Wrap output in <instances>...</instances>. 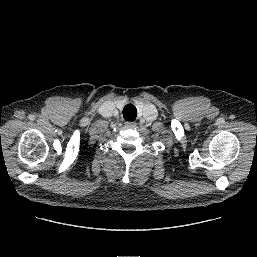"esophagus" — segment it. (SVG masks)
I'll use <instances>...</instances> for the list:
<instances>
[{
  "instance_id": "esophagus-1",
  "label": "esophagus",
  "mask_w": 257,
  "mask_h": 257,
  "mask_svg": "<svg viewBox=\"0 0 257 257\" xmlns=\"http://www.w3.org/2000/svg\"><path fill=\"white\" fill-rule=\"evenodd\" d=\"M125 126H126V127H129V128H132V127H135V126H136V123H135V122H132V121H129V122H126V123H125Z\"/></svg>"
}]
</instances>
